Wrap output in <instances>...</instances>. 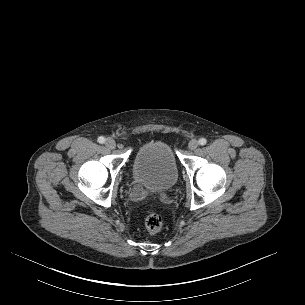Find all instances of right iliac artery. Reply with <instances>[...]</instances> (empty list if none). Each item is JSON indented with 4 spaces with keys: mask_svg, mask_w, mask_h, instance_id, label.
Returning <instances> with one entry per match:
<instances>
[{
    "mask_svg": "<svg viewBox=\"0 0 305 305\" xmlns=\"http://www.w3.org/2000/svg\"><path fill=\"white\" fill-rule=\"evenodd\" d=\"M98 142L101 143V144H103V143L105 142V138H104L103 136H100V137L98 138Z\"/></svg>",
    "mask_w": 305,
    "mask_h": 305,
    "instance_id": "right-iliac-artery-1",
    "label": "right iliac artery"
}]
</instances>
